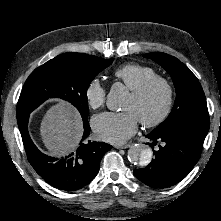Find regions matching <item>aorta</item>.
<instances>
[{"mask_svg":"<svg viewBox=\"0 0 221 221\" xmlns=\"http://www.w3.org/2000/svg\"><path fill=\"white\" fill-rule=\"evenodd\" d=\"M128 96V92L123 85H115L107 95L106 105L109 110H120ZM153 157L152 149L146 145L135 144L128 150V160L136 166H147Z\"/></svg>","mask_w":221,"mask_h":221,"instance_id":"762f6f07","label":"aorta"}]
</instances>
